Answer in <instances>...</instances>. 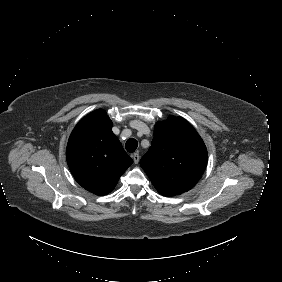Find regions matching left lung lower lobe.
I'll use <instances>...</instances> for the list:
<instances>
[{
	"mask_svg": "<svg viewBox=\"0 0 282 282\" xmlns=\"http://www.w3.org/2000/svg\"><path fill=\"white\" fill-rule=\"evenodd\" d=\"M160 194L164 195V196H174V195H178V194H171L168 192H159Z\"/></svg>",
	"mask_w": 282,
	"mask_h": 282,
	"instance_id": "left-lung-lower-lobe-1",
	"label": "left lung lower lobe"
}]
</instances>
